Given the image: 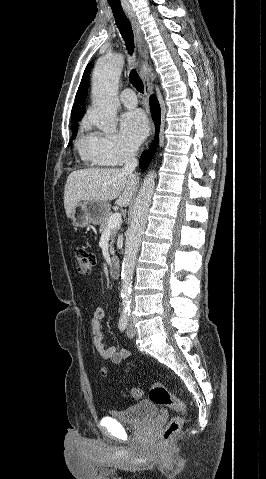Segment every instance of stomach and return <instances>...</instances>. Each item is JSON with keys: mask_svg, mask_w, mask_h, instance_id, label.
<instances>
[{"mask_svg": "<svg viewBox=\"0 0 266 479\" xmlns=\"http://www.w3.org/2000/svg\"><path fill=\"white\" fill-rule=\"evenodd\" d=\"M110 213V204L105 201L86 200L79 202L71 214L72 224L84 228L90 224H100Z\"/></svg>", "mask_w": 266, "mask_h": 479, "instance_id": "0dacf381", "label": "stomach"}]
</instances>
